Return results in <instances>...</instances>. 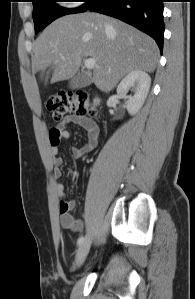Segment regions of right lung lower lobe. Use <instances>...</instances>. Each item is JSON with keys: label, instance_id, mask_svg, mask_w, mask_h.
Returning <instances> with one entry per match:
<instances>
[{"label": "right lung lower lobe", "instance_id": "right-lung-lower-lobe-1", "mask_svg": "<svg viewBox=\"0 0 195 299\" xmlns=\"http://www.w3.org/2000/svg\"><path fill=\"white\" fill-rule=\"evenodd\" d=\"M164 0H93L87 10L120 19L150 35L163 48Z\"/></svg>", "mask_w": 195, "mask_h": 299}]
</instances>
